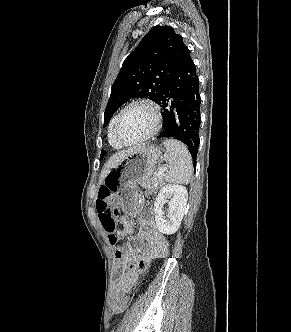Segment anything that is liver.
Here are the masks:
<instances>
[{"label": "liver", "mask_w": 291, "mask_h": 332, "mask_svg": "<svg viewBox=\"0 0 291 332\" xmlns=\"http://www.w3.org/2000/svg\"><path fill=\"white\" fill-rule=\"evenodd\" d=\"M136 148H130L127 150H122L110 157V159L105 164L99 178V184H102L104 181V178L108 174L109 170L114 168L127 154L135 150Z\"/></svg>", "instance_id": "liver-1"}]
</instances>
